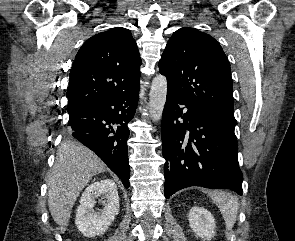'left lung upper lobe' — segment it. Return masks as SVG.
<instances>
[{"mask_svg":"<svg viewBox=\"0 0 295 241\" xmlns=\"http://www.w3.org/2000/svg\"><path fill=\"white\" fill-rule=\"evenodd\" d=\"M159 69L167 77L168 90L236 125L230 64L213 37L194 28H180L169 39Z\"/></svg>","mask_w":295,"mask_h":241,"instance_id":"5c2ea615","label":"left lung upper lobe"}]
</instances>
